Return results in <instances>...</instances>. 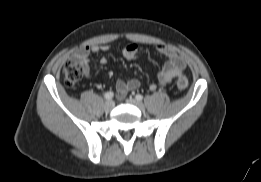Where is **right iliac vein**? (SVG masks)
I'll use <instances>...</instances> for the list:
<instances>
[{"label": "right iliac vein", "mask_w": 261, "mask_h": 182, "mask_svg": "<svg viewBox=\"0 0 261 182\" xmlns=\"http://www.w3.org/2000/svg\"><path fill=\"white\" fill-rule=\"evenodd\" d=\"M113 108H114V102L113 101L109 100V101L105 102V104H104V110L105 111L109 112Z\"/></svg>", "instance_id": "1"}]
</instances>
